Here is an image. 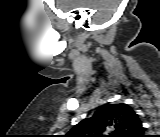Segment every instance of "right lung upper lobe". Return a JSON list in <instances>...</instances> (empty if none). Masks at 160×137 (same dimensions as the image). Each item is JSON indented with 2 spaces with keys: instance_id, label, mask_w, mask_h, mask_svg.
Here are the masks:
<instances>
[{
  "instance_id": "cb5924a9",
  "label": "right lung upper lobe",
  "mask_w": 160,
  "mask_h": 137,
  "mask_svg": "<svg viewBox=\"0 0 160 137\" xmlns=\"http://www.w3.org/2000/svg\"><path fill=\"white\" fill-rule=\"evenodd\" d=\"M143 132L138 115L131 107L120 103L101 106L69 133L74 137H140Z\"/></svg>"
}]
</instances>
